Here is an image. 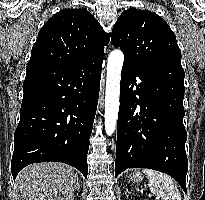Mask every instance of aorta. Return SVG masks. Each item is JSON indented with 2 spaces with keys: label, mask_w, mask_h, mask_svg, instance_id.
Returning <instances> with one entry per match:
<instances>
[{
  "label": "aorta",
  "mask_w": 205,
  "mask_h": 200,
  "mask_svg": "<svg viewBox=\"0 0 205 200\" xmlns=\"http://www.w3.org/2000/svg\"><path fill=\"white\" fill-rule=\"evenodd\" d=\"M123 61L124 55L119 49L113 50L108 56L104 119L105 132L109 136L115 131L118 119L120 80Z\"/></svg>",
  "instance_id": "obj_1"
}]
</instances>
